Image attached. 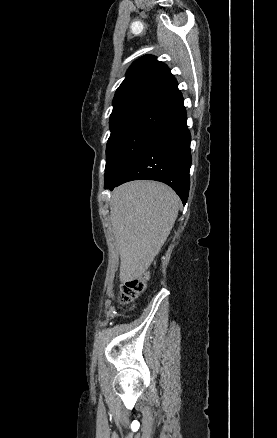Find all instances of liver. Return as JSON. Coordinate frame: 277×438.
<instances>
[{
	"label": "liver",
	"mask_w": 277,
	"mask_h": 438,
	"mask_svg": "<svg viewBox=\"0 0 277 438\" xmlns=\"http://www.w3.org/2000/svg\"><path fill=\"white\" fill-rule=\"evenodd\" d=\"M179 198L160 182H128L112 192L110 220L120 254V282L142 278L178 216Z\"/></svg>",
	"instance_id": "6515ba94"
}]
</instances>
